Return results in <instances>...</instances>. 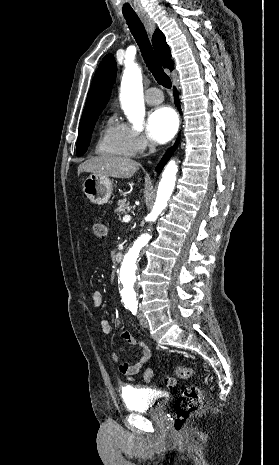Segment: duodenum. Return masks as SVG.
I'll return each instance as SVG.
<instances>
[{
  "mask_svg": "<svg viewBox=\"0 0 279 465\" xmlns=\"http://www.w3.org/2000/svg\"><path fill=\"white\" fill-rule=\"evenodd\" d=\"M124 253L122 251H118L115 255V260L117 262H121L123 259Z\"/></svg>",
  "mask_w": 279,
  "mask_h": 465,
  "instance_id": "obj_1",
  "label": "duodenum"
}]
</instances>
